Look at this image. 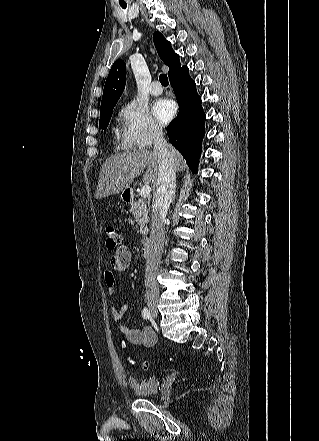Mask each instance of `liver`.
I'll use <instances>...</instances> for the list:
<instances>
[{
	"label": "liver",
	"instance_id": "obj_1",
	"mask_svg": "<svg viewBox=\"0 0 319 441\" xmlns=\"http://www.w3.org/2000/svg\"><path fill=\"white\" fill-rule=\"evenodd\" d=\"M173 151L175 170H185L187 167L185 160L178 151L175 149ZM145 168L143 182L155 189L159 176V165L158 157L154 151L140 150L109 157L101 167L95 198L100 199L124 191Z\"/></svg>",
	"mask_w": 319,
	"mask_h": 441
}]
</instances>
